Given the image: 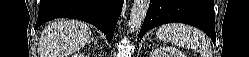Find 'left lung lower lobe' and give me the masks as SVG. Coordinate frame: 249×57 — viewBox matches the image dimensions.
<instances>
[{
  "label": "left lung lower lobe",
  "instance_id": "0a47b994",
  "mask_svg": "<svg viewBox=\"0 0 249 57\" xmlns=\"http://www.w3.org/2000/svg\"><path fill=\"white\" fill-rule=\"evenodd\" d=\"M181 22L195 26L216 41L213 0H151L140 39L144 34L159 25Z\"/></svg>",
  "mask_w": 249,
  "mask_h": 57
}]
</instances>
